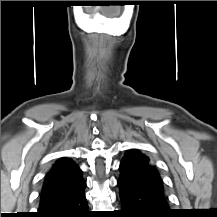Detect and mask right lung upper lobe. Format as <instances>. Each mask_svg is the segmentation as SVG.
<instances>
[{
	"label": "right lung upper lobe",
	"mask_w": 217,
	"mask_h": 217,
	"mask_svg": "<svg viewBox=\"0 0 217 217\" xmlns=\"http://www.w3.org/2000/svg\"><path fill=\"white\" fill-rule=\"evenodd\" d=\"M86 187L81 170L72 160L59 159L47 173L40 199V205L71 196Z\"/></svg>",
	"instance_id": "1"
}]
</instances>
